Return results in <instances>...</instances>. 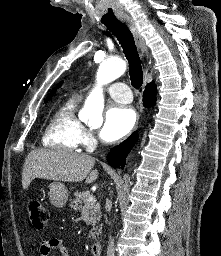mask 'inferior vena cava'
<instances>
[{
    "label": "inferior vena cava",
    "mask_w": 221,
    "mask_h": 256,
    "mask_svg": "<svg viewBox=\"0 0 221 256\" xmlns=\"http://www.w3.org/2000/svg\"><path fill=\"white\" fill-rule=\"evenodd\" d=\"M107 206H108V211H110L111 208V202L109 200H107ZM115 253V249H114V240L112 239V237H109V243H108V247H107V256H114Z\"/></svg>",
    "instance_id": "602c4592"
}]
</instances>
